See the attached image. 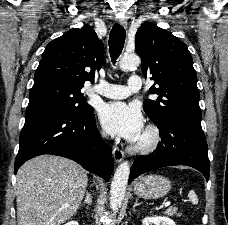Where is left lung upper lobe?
Instances as JSON below:
<instances>
[{
  "instance_id": "obj_1",
  "label": "left lung upper lobe",
  "mask_w": 228,
  "mask_h": 225,
  "mask_svg": "<svg viewBox=\"0 0 228 225\" xmlns=\"http://www.w3.org/2000/svg\"><path fill=\"white\" fill-rule=\"evenodd\" d=\"M135 50L144 76L155 81L150 93L159 95L156 101H144L149 118L157 126L172 117L201 120L197 75L187 46L170 32L146 22L136 33Z\"/></svg>"
}]
</instances>
